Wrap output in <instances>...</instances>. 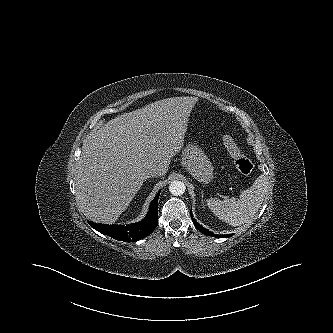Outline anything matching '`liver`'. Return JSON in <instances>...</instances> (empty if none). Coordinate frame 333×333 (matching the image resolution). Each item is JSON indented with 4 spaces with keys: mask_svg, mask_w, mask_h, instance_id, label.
<instances>
[{
    "mask_svg": "<svg viewBox=\"0 0 333 333\" xmlns=\"http://www.w3.org/2000/svg\"><path fill=\"white\" fill-rule=\"evenodd\" d=\"M196 97H171L119 115L95 131L83 146L75 179L84 215L112 224L127 209L148 172L167 173L184 145Z\"/></svg>",
    "mask_w": 333,
    "mask_h": 333,
    "instance_id": "6515ba94",
    "label": "liver"
}]
</instances>
